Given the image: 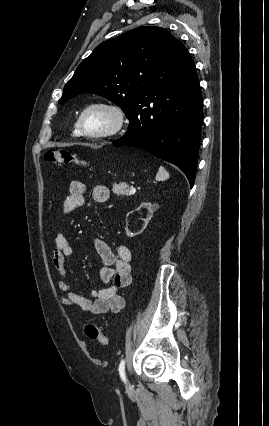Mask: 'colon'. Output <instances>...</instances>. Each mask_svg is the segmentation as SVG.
I'll return each instance as SVG.
<instances>
[{"label": "colon", "instance_id": "colon-1", "mask_svg": "<svg viewBox=\"0 0 269 426\" xmlns=\"http://www.w3.org/2000/svg\"><path fill=\"white\" fill-rule=\"evenodd\" d=\"M44 159L46 162L55 165L88 166L86 161L81 160L76 154L66 149H49L46 151ZM85 333L89 339L98 342L102 346H108L110 344L108 336L94 323H88L85 326Z\"/></svg>", "mask_w": 269, "mask_h": 426}]
</instances>
